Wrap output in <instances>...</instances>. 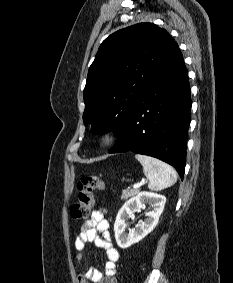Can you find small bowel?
I'll return each instance as SVG.
<instances>
[{"instance_id": "1", "label": "small bowel", "mask_w": 233, "mask_h": 283, "mask_svg": "<svg viewBox=\"0 0 233 283\" xmlns=\"http://www.w3.org/2000/svg\"><path fill=\"white\" fill-rule=\"evenodd\" d=\"M87 243H94L95 246L104 249L107 261L104 266V274L97 268H90L85 273L78 275V283H117L116 269L119 260V252L111 241L109 222L105 218L103 209L94 210L84 220L81 232L75 240L77 251L76 261L82 264L84 261V249Z\"/></svg>"}]
</instances>
